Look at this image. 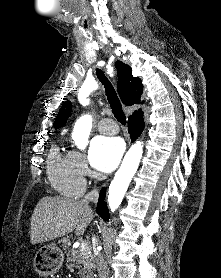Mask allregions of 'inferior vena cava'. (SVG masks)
<instances>
[{
    "label": "inferior vena cava",
    "instance_id": "602c4592",
    "mask_svg": "<svg viewBox=\"0 0 221 278\" xmlns=\"http://www.w3.org/2000/svg\"><path fill=\"white\" fill-rule=\"evenodd\" d=\"M98 195H99L98 191L93 190L85 196L83 202L85 204H88L90 201L97 202ZM92 261H93V265H95L97 269L98 277L109 278V268L106 262L104 261L103 255L96 249L94 250V254L92 255Z\"/></svg>",
    "mask_w": 221,
    "mask_h": 278
}]
</instances>
